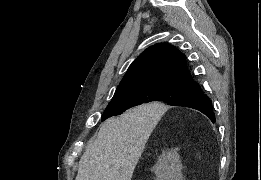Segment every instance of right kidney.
I'll use <instances>...</instances> for the list:
<instances>
[{"label": "right kidney", "instance_id": "obj_1", "mask_svg": "<svg viewBox=\"0 0 261 180\" xmlns=\"http://www.w3.org/2000/svg\"><path fill=\"white\" fill-rule=\"evenodd\" d=\"M157 180H182V164L179 154L173 152H166L159 158L157 164L153 168Z\"/></svg>", "mask_w": 261, "mask_h": 180}]
</instances>
